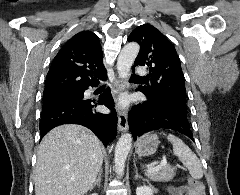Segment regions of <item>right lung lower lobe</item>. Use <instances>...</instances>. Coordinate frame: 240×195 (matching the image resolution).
Masks as SVG:
<instances>
[{"instance_id": "1", "label": "right lung lower lobe", "mask_w": 240, "mask_h": 195, "mask_svg": "<svg viewBox=\"0 0 240 195\" xmlns=\"http://www.w3.org/2000/svg\"><path fill=\"white\" fill-rule=\"evenodd\" d=\"M87 89L81 90L77 99L55 98L43 103L39 124L41 139L52 128L73 123L92 130L105 146L113 141L117 134V114L110 89L107 88L97 101L83 100L84 91ZM97 105H104L112 112L110 114L97 112L95 110Z\"/></svg>"}]
</instances>
